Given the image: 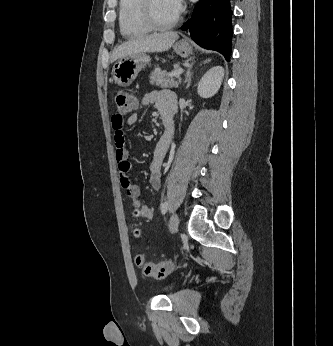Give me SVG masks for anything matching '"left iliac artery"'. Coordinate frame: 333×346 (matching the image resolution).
Listing matches in <instances>:
<instances>
[{
    "mask_svg": "<svg viewBox=\"0 0 333 346\" xmlns=\"http://www.w3.org/2000/svg\"><path fill=\"white\" fill-rule=\"evenodd\" d=\"M168 207H169L168 201H165L164 203H162V205H161V212H162V214H165L167 212Z\"/></svg>",
    "mask_w": 333,
    "mask_h": 346,
    "instance_id": "obj_1",
    "label": "left iliac artery"
}]
</instances>
